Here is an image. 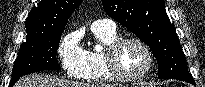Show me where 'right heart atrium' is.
Returning <instances> with one entry per match:
<instances>
[{"label": "right heart atrium", "mask_w": 205, "mask_h": 87, "mask_svg": "<svg viewBox=\"0 0 205 87\" xmlns=\"http://www.w3.org/2000/svg\"><path fill=\"white\" fill-rule=\"evenodd\" d=\"M57 53L64 71L73 78L82 76L86 57L85 50L79 43V37L75 33L66 34L60 41Z\"/></svg>", "instance_id": "right-heart-atrium-1"}]
</instances>
